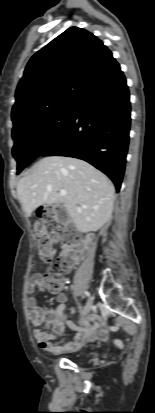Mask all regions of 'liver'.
I'll return each instance as SVG.
<instances>
[{
	"mask_svg": "<svg viewBox=\"0 0 155 413\" xmlns=\"http://www.w3.org/2000/svg\"><path fill=\"white\" fill-rule=\"evenodd\" d=\"M66 190L65 196L60 190ZM115 189L111 181L89 163L72 157L39 160L17 184V196L27 217L39 206L60 203L82 232L99 230L113 211Z\"/></svg>",
	"mask_w": 155,
	"mask_h": 413,
	"instance_id": "liver-1",
	"label": "liver"
}]
</instances>
